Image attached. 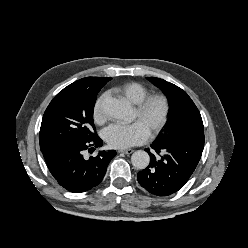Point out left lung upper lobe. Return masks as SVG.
I'll list each match as a JSON object with an SVG mask.
<instances>
[{
  "instance_id": "obj_1",
  "label": "left lung upper lobe",
  "mask_w": 248,
  "mask_h": 248,
  "mask_svg": "<svg viewBox=\"0 0 248 248\" xmlns=\"http://www.w3.org/2000/svg\"><path fill=\"white\" fill-rule=\"evenodd\" d=\"M147 79L167 96L170 107L168 123L156 141L191 139L204 142V127L200 112L187 93L163 79L155 77H147Z\"/></svg>"
}]
</instances>
